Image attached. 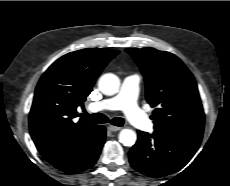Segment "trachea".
Segmentation results:
<instances>
[{"instance_id":"obj_1","label":"trachea","mask_w":230,"mask_h":186,"mask_svg":"<svg viewBox=\"0 0 230 186\" xmlns=\"http://www.w3.org/2000/svg\"><path fill=\"white\" fill-rule=\"evenodd\" d=\"M82 116L85 117V118H88L93 123H98V124L108 123V122H110L111 124H113L115 126H123V124H124V119L123 118L115 117L110 121L108 119V117L105 116L102 113L88 114V113L85 112Z\"/></svg>"}]
</instances>
